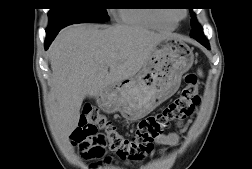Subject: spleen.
<instances>
[{
	"label": "spleen",
	"instance_id": "3e777b00",
	"mask_svg": "<svg viewBox=\"0 0 252 169\" xmlns=\"http://www.w3.org/2000/svg\"><path fill=\"white\" fill-rule=\"evenodd\" d=\"M198 74H199V75H202V73H201V71H200V70H198Z\"/></svg>",
	"mask_w": 252,
	"mask_h": 169
}]
</instances>
